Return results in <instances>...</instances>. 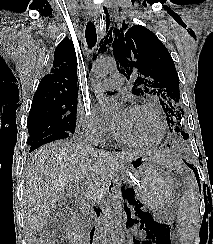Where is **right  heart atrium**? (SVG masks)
<instances>
[{
    "mask_svg": "<svg viewBox=\"0 0 213 244\" xmlns=\"http://www.w3.org/2000/svg\"><path fill=\"white\" fill-rule=\"evenodd\" d=\"M109 132V125L96 115L92 107L83 106L78 110L75 132L78 139L101 143L108 137Z\"/></svg>",
    "mask_w": 213,
    "mask_h": 244,
    "instance_id": "right-heart-atrium-1",
    "label": "right heart atrium"
}]
</instances>
